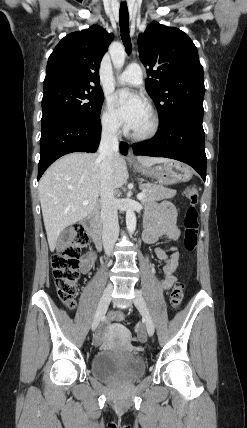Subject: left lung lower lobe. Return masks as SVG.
<instances>
[{
    "mask_svg": "<svg viewBox=\"0 0 247 428\" xmlns=\"http://www.w3.org/2000/svg\"><path fill=\"white\" fill-rule=\"evenodd\" d=\"M203 114L178 112L162 122L160 134L153 141L135 144V155L167 157L193 167L205 181L207 158Z\"/></svg>",
    "mask_w": 247,
    "mask_h": 428,
    "instance_id": "0a47b994",
    "label": "left lung lower lobe"
}]
</instances>
